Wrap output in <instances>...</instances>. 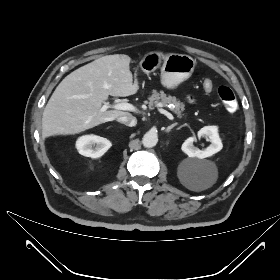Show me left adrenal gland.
Instances as JSON below:
<instances>
[{"label": "left adrenal gland", "instance_id": "a2214340", "mask_svg": "<svg viewBox=\"0 0 280 280\" xmlns=\"http://www.w3.org/2000/svg\"><path fill=\"white\" fill-rule=\"evenodd\" d=\"M177 125V123H173L172 125L168 126L167 129H165V132H170L172 128H174Z\"/></svg>", "mask_w": 280, "mask_h": 280}]
</instances>
